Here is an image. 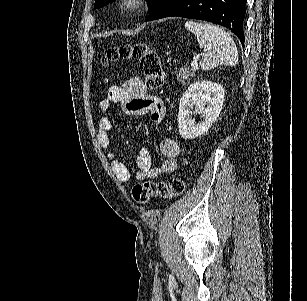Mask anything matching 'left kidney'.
<instances>
[{"mask_svg": "<svg viewBox=\"0 0 307 301\" xmlns=\"http://www.w3.org/2000/svg\"><path fill=\"white\" fill-rule=\"evenodd\" d=\"M225 90L223 84L211 80L192 82L180 98L177 114L178 128L182 138H196L205 134L217 120L223 106ZM207 104V106H206ZM202 114L203 120L195 122L192 108Z\"/></svg>", "mask_w": 307, "mask_h": 301, "instance_id": "1", "label": "left kidney"}]
</instances>
